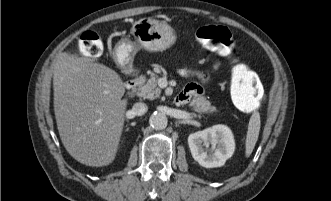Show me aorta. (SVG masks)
I'll return each mask as SVG.
<instances>
[{"instance_id":"obj_1","label":"aorta","mask_w":331,"mask_h":201,"mask_svg":"<svg viewBox=\"0 0 331 201\" xmlns=\"http://www.w3.org/2000/svg\"><path fill=\"white\" fill-rule=\"evenodd\" d=\"M149 121L151 126L156 129H164L168 123L167 116L162 112H154Z\"/></svg>"}]
</instances>
